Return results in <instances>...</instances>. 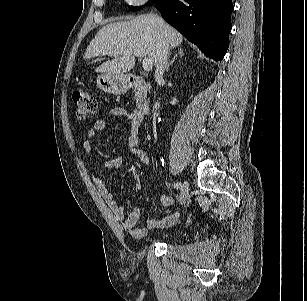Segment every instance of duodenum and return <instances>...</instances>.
Returning <instances> with one entry per match:
<instances>
[{
	"instance_id": "410a0bca",
	"label": "duodenum",
	"mask_w": 307,
	"mask_h": 301,
	"mask_svg": "<svg viewBox=\"0 0 307 301\" xmlns=\"http://www.w3.org/2000/svg\"><path fill=\"white\" fill-rule=\"evenodd\" d=\"M129 86L136 92V108L141 115L150 112L151 102L148 97V87L145 79L141 76L134 75L129 80Z\"/></svg>"
}]
</instances>
